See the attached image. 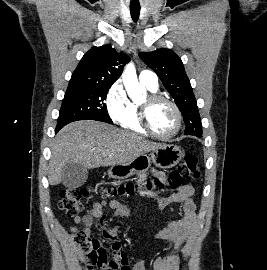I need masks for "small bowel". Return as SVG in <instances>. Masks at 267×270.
<instances>
[{"instance_id":"small-bowel-1","label":"small bowel","mask_w":267,"mask_h":270,"mask_svg":"<svg viewBox=\"0 0 267 270\" xmlns=\"http://www.w3.org/2000/svg\"><path fill=\"white\" fill-rule=\"evenodd\" d=\"M154 174L162 178V173L154 172ZM145 174L138 177V182H144ZM155 204L159 210H164L171 204L177 203L181 205L183 217L175 220H167L165 225L154 231L153 237L158 240H167L175 244H181L191 234L196 224V205L194 201V188L191 184H186L179 188L176 192L167 197L154 198ZM109 207L114 211V215L121 218H126L129 215V208L119 201L94 202L92 207L86 210L83 216H76L74 224L71 226L73 232H78L80 225L88 231L94 221H103L106 217L104 208ZM103 235L106 239L113 240L112 253L113 259H120L122 256L127 258V254L123 250L121 244L115 240V231L105 228ZM171 264V257H157L153 262V270H164L166 266ZM126 270H146L145 261L138 258L131 265L126 263Z\"/></svg>"}]
</instances>
